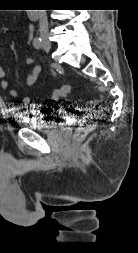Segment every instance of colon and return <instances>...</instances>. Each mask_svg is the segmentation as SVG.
I'll use <instances>...</instances> for the list:
<instances>
[{"mask_svg": "<svg viewBox=\"0 0 138 253\" xmlns=\"http://www.w3.org/2000/svg\"><path fill=\"white\" fill-rule=\"evenodd\" d=\"M71 90L72 86L70 84H64L60 88L53 90L50 98L52 100H58L68 95ZM94 104H97L96 100L94 101ZM95 126V121L91 116H84L80 121L79 127L75 131L74 139L76 141L83 140L91 131L94 130Z\"/></svg>", "mask_w": 138, "mask_h": 253, "instance_id": "1", "label": "colon"}]
</instances>
